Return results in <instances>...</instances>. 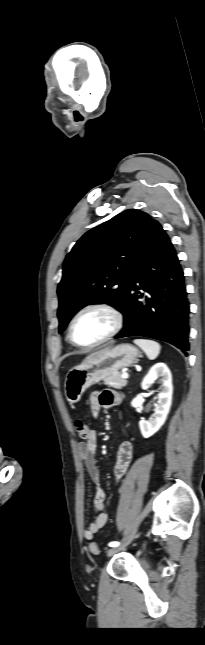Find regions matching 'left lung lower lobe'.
<instances>
[{
    "label": "left lung lower lobe",
    "mask_w": 205,
    "mask_h": 645,
    "mask_svg": "<svg viewBox=\"0 0 205 645\" xmlns=\"http://www.w3.org/2000/svg\"><path fill=\"white\" fill-rule=\"evenodd\" d=\"M120 312L124 328L115 338L146 336L188 355L190 309L184 274L169 237L156 220L150 222L138 245Z\"/></svg>",
    "instance_id": "0a47b994"
}]
</instances>
